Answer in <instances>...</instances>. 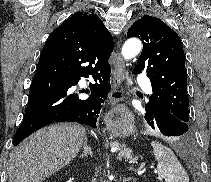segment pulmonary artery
I'll return each instance as SVG.
<instances>
[{"mask_svg": "<svg viewBox=\"0 0 211 182\" xmlns=\"http://www.w3.org/2000/svg\"><path fill=\"white\" fill-rule=\"evenodd\" d=\"M137 83H138L139 85L145 86L146 91H147L149 94L152 93V89H151V87H150V85H149V83H148V78H147L145 75H143V74L140 75V76L138 77V79H137Z\"/></svg>", "mask_w": 211, "mask_h": 182, "instance_id": "pulmonary-artery-1", "label": "pulmonary artery"}]
</instances>
